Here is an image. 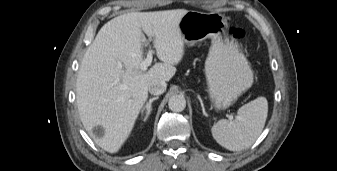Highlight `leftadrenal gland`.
<instances>
[{
    "instance_id": "1",
    "label": "left adrenal gland",
    "mask_w": 337,
    "mask_h": 171,
    "mask_svg": "<svg viewBox=\"0 0 337 171\" xmlns=\"http://www.w3.org/2000/svg\"><path fill=\"white\" fill-rule=\"evenodd\" d=\"M198 98H199L200 103H201V107H202L203 114H204L205 116H208L207 113L205 112V108H204V105H203V102H202L201 98H200L199 96H198Z\"/></svg>"
}]
</instances>
